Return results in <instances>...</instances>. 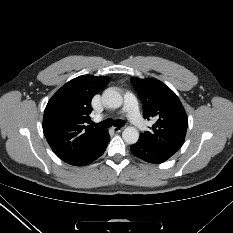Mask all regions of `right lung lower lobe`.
I'll use <instances>...</instances> for the list:
<instances>
[{
	"mask_svg": "<svg viewBox=\"0 0 233 233\" xmlns=\"http://www.w3.org/2000/svg\"><path fill=\"white\" fill-rule=\"evenodd\" d=\"M109 140L110 137L108 132L106 131L103 137L97 143H95L91 149H89L86 153L82 154L81 156L71 161H68L67 163L74 166H83L93 162L104 153Z\"/></svg>",
	"mask_w": 233,
	"mask_h": 233,
	"instance_id": "1",
	"label": "right lung lower lobe"
}]
</instances>
